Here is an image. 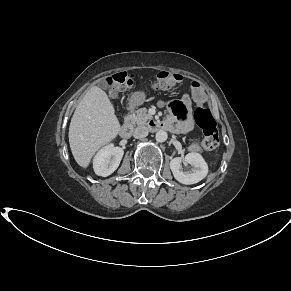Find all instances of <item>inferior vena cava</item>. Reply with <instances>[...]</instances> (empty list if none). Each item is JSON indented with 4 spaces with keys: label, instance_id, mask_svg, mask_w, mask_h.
I'll use <instances>...</instances> for the list:
<instances>
[{
    "label": "inferior vena cava",
    "instance_id": "inferior-vena-cava-1",
    "mask_svg": "<svg viewBox=\"0 0 291 291\" xmlns=\"http://www.w3.org/2000/svg\"><path fill=\"white\" fill-rule=\"evenodd\" d=\"M149 131L148 128L146 126H138L133 133L134 138H143L146 137L148 135Z\"/></svg>",
    "mask_w": 291,
    "mask_h": 291
}]
</instances>
